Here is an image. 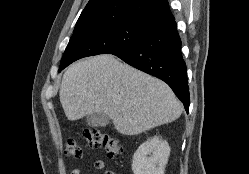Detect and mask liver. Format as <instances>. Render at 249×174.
Instances as JSON below:
<instances>
[{
	"instance_id": "6515ba94",
	"label": "liver",
	"mask_w": 249,
	"mask_h": 174,
	"mask_svg": "<svg viewBox=\"0 0 249 174\" xmlns=\"http://www.w3.org/2000/svg\"><path fill=\"white\" fill-rule=\"evenodd\" d=\"M59 96L68 120L102 113L123 135L173 122L183 111L166 83L110 54L72 64L63 75Z\"/></svg>"
}]
</instances>
